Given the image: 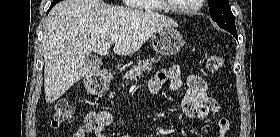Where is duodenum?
Masks as SVG:
<instances>
[{
  "instance_id": "obj_1",
  "label": "duodenum",
  "mask_w": 280,
  "mask_h": 137,
  "mask_svg": "<svg viewBox=\"0 0 280 137\" xmlns=\"http://www.w3.org/2000/svg\"><path fill=\"white\" fill-rule=\"evenodd\" d=\"M113 81H114V76H113V75H110V76H109V82L112 83Z\"/></svg>"
}]
</instances>
